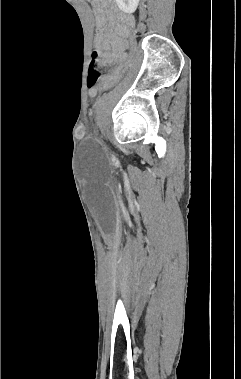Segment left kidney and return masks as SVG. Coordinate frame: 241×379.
Returning a JSON list of instances; mask_svg holds the SVG:
<instances>
[{
    "mask_svg": "<svg viewBox=\"0 0 241 379\" xmlns=\"http://www.w3.org/2000/svg\"><path fill=\"white\" fill-rule=\"evenodd\" d=\"M118 7L125 13H133L137 9L139 0H116Z\"/></svg>",
    "mask_w": 241,
    "mask_h": 379,
    "instance_id": "left-kidney-1",
    "label": "left kidney"
}]
</instances>
